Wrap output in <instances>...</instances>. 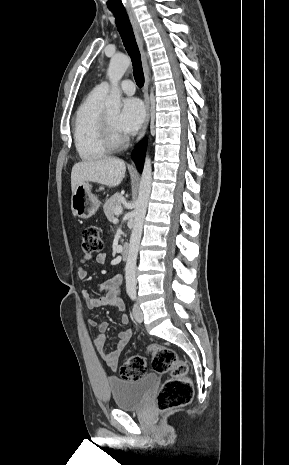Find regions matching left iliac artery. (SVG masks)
<instances>
[{"label": "left iliac artery", "mask_w": 289, "mask_h": 465, "mask_svg": "<svg viewBox=\"0 0 289 465\" xmlns=\"http://www.w3.org/2000/svg\"><path fill=\"white\" fill-rule=\"evenodd\" d=\"M129 295H130L132 300L136 299V293L135 292H130Z\"/></svg>", "instance_id": "obj_1"}]
</instances>
